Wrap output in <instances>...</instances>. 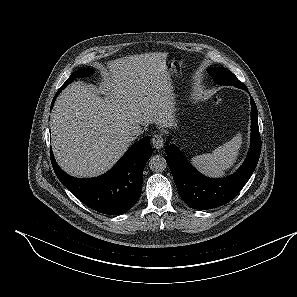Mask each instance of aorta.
<instances>
[{"label":"aorta","instance_id":"obj_1","mask_svg":"<svg viewBox=\"0 0 297 297\" xmlns=\"http://www.w3.org/2000/svg\"><path fill=\"white\" fill-rule=\"evenodd\" d=\"M149 167L154 172H162L166 169L167 163L164 157L155 155L149 159Z\"/></svg>","mask_w":297,"mask_h":297}]
</instances>
